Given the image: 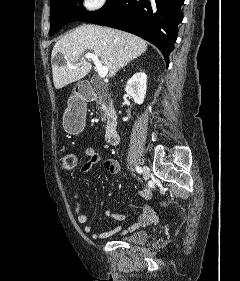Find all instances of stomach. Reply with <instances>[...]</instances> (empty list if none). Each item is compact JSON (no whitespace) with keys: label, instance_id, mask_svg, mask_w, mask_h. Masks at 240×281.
I'll return each instance as SVG.
<instances>
[{"label":"stomach","instance_id":"1","mask_svg":"<svg viewBox=\"0 0 240 281\" xmlns=\"http://www.w3.org/2000/svg\"><path fill=\"white\" fill-rule=\"evenodd\" d=\"M86 118V107L77 98H71L68 107L63 115V127L70 134L79 133L84 125Z\"/></svg>","mask_w":240,"mask_h":281}]
</instances>
